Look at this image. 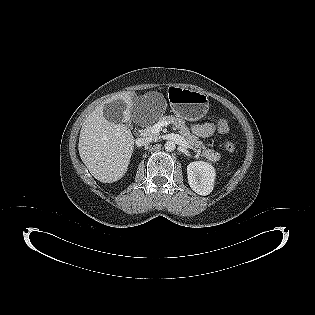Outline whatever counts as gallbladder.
Instances as JSON below:
<instances>
[{"label":"gallbladder","mask_w":315,"mask_h":315,"mask_svg":"<svg viewBox=\"0 0 315 315\" xmlns=\"http://www.w3.org/2000/svg\"><path fill=\"white\" fill-rule=\"evenodd\" d=\"M126 109L123 100L118 99L106 103L103 108V116L106 120L114 123H121L124 118V111Z\"/></svg>","instance_id":"obj_1"}]
</instances>
